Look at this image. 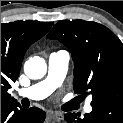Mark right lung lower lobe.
I'll use <instances>...</instances> for the list:
<instances>
[{
  "label": "right lung lower lobe",
  "instance_id": "right-lung-lower-lobe-1",
  "mask_svg": "<svg viewBox=\"0 0 123 123\" xmlns=\"http://www.w3.org/2000/svg\"><path fill=\"white\" fill-rule=\"evenodd\" d=\"M45 117L39 108L23 109L17 101L1 102V123H43Z\"/></svg>",
  "mask_w": 123,
  "mask_h": 123
}]
</instances>
